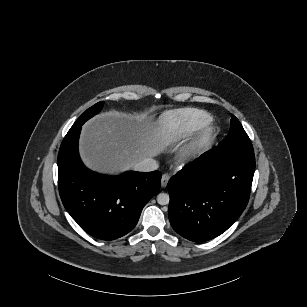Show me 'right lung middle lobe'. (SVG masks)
<instances>
[{
	"label": "right lung middle lobe",
	"mask_w": 307,
	"mask_h": 307,
	"mask_svg": "<svg viewBox=\"0 0 307 307\" xmlns=\"http://www.w3.org/2000/svg\"><path fill=\"white\" fill-rule=\"evenodd\" d=\"M104 102H98L97 104L93 105L89 109H87L74 123L73 126L78 124H84L88 119L96 115L103 107Z\"/></svg>",
	"instance_id": "obj_1"
}]
</instances>
